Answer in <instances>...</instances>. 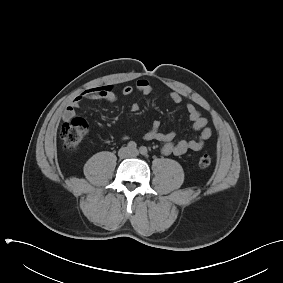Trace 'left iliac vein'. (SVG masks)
Masks as SVG:
<instances>
[{"label":"left iliac vein","instance_id":"left-iliac-vein-1","mask_svg":"<svg viewBox=\"0 0 283 283\" xmlns=\"http://www.w3.org/2000/svg\"><path fill=\"white\" fill-rule=\"evenodd\" d=\"M130 154H131L132 156H137V155L139 154V151H138L137 149L131 150V151H130Z\"/></svg>","mask_w":283,"mask_h":283}]
</instances>
